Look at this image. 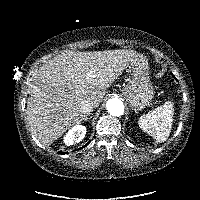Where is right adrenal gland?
I'll return each mask as SVG.
<instances>
[{
    "mask_svg": "<svg viewBox=\"0 0 200 200\" xmlns=\"http://www.w3.org/2000/svg\"><path fill=\"white\" fill-rule=\"evenodd\" d=\"M90 115V113H87L86 115H84V117L82 118L83 121H88V116Z\"/></svg>",
    "mask_w": 200,
    "mask_h": 200,
    "instance_id": "right-adrenal-gland-1",
    "label": "right adrenal gland"
}]
</instances>
